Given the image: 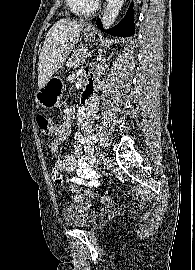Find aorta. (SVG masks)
<instances>
[{
  "label": "aorta",
  "instance_id": "1",
  "mask_svg": "<svg viewBox=\"0 0 195 270\" xmlns=\"http://www.w3.org/2000/svg\"><path fill=\"white\" fill-rule=\"evenodd\" d=\"M123 4L124 0H108L102 16V26L104 29H109L114 24Z\"/></svg>",
  "mask_w": 195,
  "mask_h": 270
}]
</instances>
